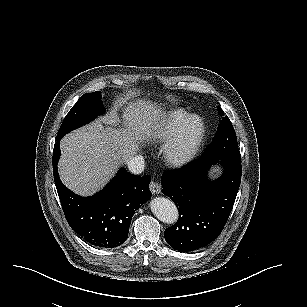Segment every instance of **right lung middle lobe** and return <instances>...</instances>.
Listing matches in <instances>:
<instances>
[{"mask_svg": "<svg viewBox=\"0 0 307 307\" xmlns=\"http://www.w3.org/2000/svg\"><path fill=\"white\" fill-rule=\"evenodd\" d=\"M105 112L101 101V91L84 94L66 115L57 134V140H60L65 134L74 130L89 121L97 115Z\"/></svg>", "mask_w": 307, "mask_h": 307, "instance_id": "obj_1", "label": "right lung middle lobe"}]
</instances>
